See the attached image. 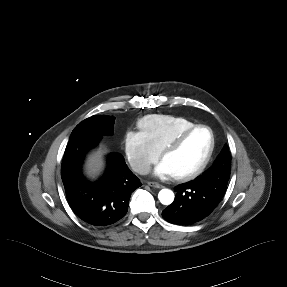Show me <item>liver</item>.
<instances>
[{"label": "liver", "instance_id": "6515ba94", "mask_svg": "<svg viewBox=\"0 0 287 287\" xmlns=\"http://www.w3.org/2000/svg\"><path fill=\"white\" fill-rule=\"evenodd\" d=\"M107 152L106 148L101 146L96 152L91 154L87 161V172L90 175L98 174L103 166V155Z\"/></svg>", "mask_w": 287, "mask_h": 287}]
</instances>
